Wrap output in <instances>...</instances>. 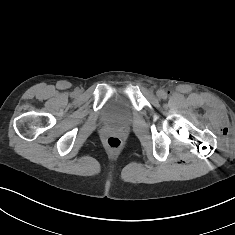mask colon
<instances>
[{"mask_svg":"<svg viewBox=\"0 0 235 235\" xmlns=\"http://www.w3.org/2000/svg\"><path fill=\"white\" fill-rule=\"evenodd\" d=\"M106 145L110 150L116 151L120 149L122 142L117 136H110L106 140Z\"/></svg>","mask_w":235,"mask_h":235,"instance_id":"1","label":"colon"}]
</instances>
